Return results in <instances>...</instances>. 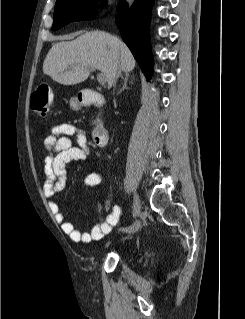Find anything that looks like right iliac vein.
<instances>
[{
    "label": "right iliac vein",
    "mask_w": 245,
    "mask_h": 319,
    "mask_svg": "<svg viewBox=\"0 0 245 319\" xmlns=\"http://www.w3.org/2000/svg\"><path fill=\"white\" fill-rule=\"evenodd\" d=\"M140 212H141V200L138 194H135L134 203H133V216L138 217L140 215ZM139 226H140V223L135 222L133 224L134 232L138 230Z\"/></svg>",
    "instance_id": "right-iliac-vein-1"
}]
</instances>
